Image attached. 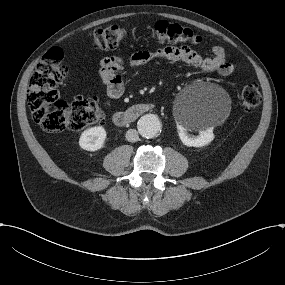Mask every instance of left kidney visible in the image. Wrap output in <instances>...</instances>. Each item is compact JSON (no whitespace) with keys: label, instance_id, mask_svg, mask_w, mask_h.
Here are the masks:
<instances>
[{"label":"left kidney","instance_id":"obj_1","mask_svg":"<svg viewBox=\"0 0 285 285\" xmlns=\"http://www.w3.org/2000/svg\"><path fill=\"white\" fill-rule=\"evenodd\" d=\"M214 139L213 129L208 128L205 131H200L198 136H190L183 133L181 140L186 146L202 147L208 145Z\"/></svg>","mask_w":285,"mask_h":285}]
</instances>
